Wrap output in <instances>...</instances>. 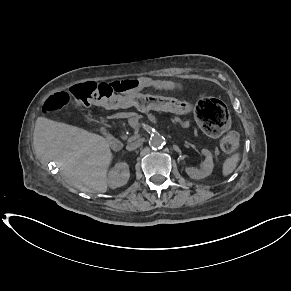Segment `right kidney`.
I'll use <instances>...</instances> for the list:
<instances>
[{
	"instance_id": "1",
	"label": "right kidney",
	"mask_w": 291,
	"mask_h": 291,
	"mask_svg": "<svg viewBox=\"0 0 291 291\" xmlns=\"http://www.w3.org/2000/svg\"><path fill=\"white\" fill-rule=\"evenodd\" d=\"M130 177L129 166L126 162L116 163L115 166L109 171L107 183L110 188L124 186Z\"/></svg>"
}]
</instances>
